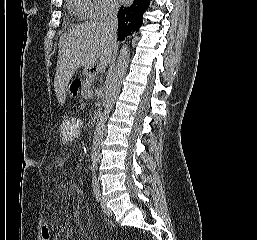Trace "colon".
<instances>
[{
    "instance_id": "5ec220e1",
    "label": "colon",
    "mask_w": 257,
    "mask_h": 240,
    "mask_svg": "<svg viewBox=\"0 0 257 240\" xmlns=\"http://www.w3.org/2000/svg\"><path fill=\"white\" fill-rule=\"evenodd\" d=\"M81 86V80L79 78H73L68 87L70 96L76 97L79 93ZM39 235L41 240H50V229L47 221H43L40 225Z\"/></svg>"
}]
</instances>
